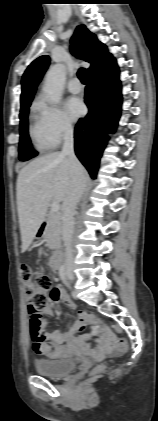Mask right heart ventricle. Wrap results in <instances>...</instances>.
Segmentation results:
<instances>
[{"label":"right heart ventricle","mask_w":158,"mask_h":421,"mask_svg":"<svg viewBox=\"0 0 158 421\" xmlns=\"http://www.w3.org/2000/svg\"><path fill=\"white\" fill-rule=\"evenodd\" d=\"M29 136L34 147L39 151H48L55 146L45 131L43 118L37 107L34 108L31 115Z\"/></svg>","instance_id":"1"}]
</instances>
